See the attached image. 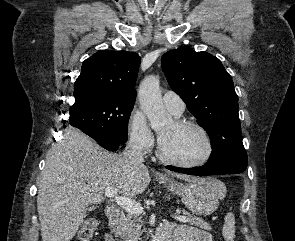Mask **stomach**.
<instances>
[{"instance_id":"1","label":"stomach","mask_w":295,"mask_h":241,"mask_svg":"<svg viewBox=\"0 0 295 241\" xmlns=\"http://www.w3.org/2000/svg\"><path fill=\"white\" fill-rule=\"evenodd\" d=\"M173 194L181 197L186 207L197 215L207 216L215 212L219 200L226 194L225 185L215 179H197L184 183L162 181Z\"/></svg>"}]
</instances>
